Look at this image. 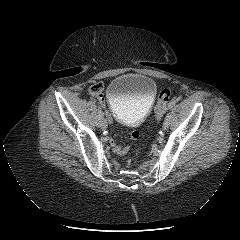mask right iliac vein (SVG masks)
<instances>
[{"mask_svg":"<svg viewBox=\"0 0 240 240\" xmlns=\"http://www.w3.org/2000/svg\"><path fill=\"white\" fill-rule=\"evenodd\" d=\"M100 127L104 130L107 128V122L105 121V119H102L100 122Z\"/></svg>","mask_w":240,"mask_h":240,"instance_id":"obj_1","label":"right iliac vein"}]
</instances>
